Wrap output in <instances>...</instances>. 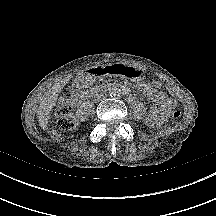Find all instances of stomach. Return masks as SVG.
<instances>
[{"label":"stomach","mask_w":216,"mask_h":216,"mask_svg":"<svg viewBox=\"0 0 216 216\" xmlns=\"http://www.w3.org/2000/svg\"><path fill=\"white\" fill-rule=\"evenodd\" d=\"M107 73L110 76L118 78L127 77L130 80L140 81L144 78V71L128 65H110L107 68Z\"/></svg>","instance_id":"0dacf381"}]
</instances>
